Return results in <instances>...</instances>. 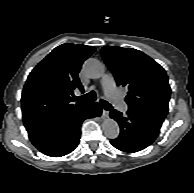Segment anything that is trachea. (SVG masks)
Listing matches in <instances>:
<instances>
[{
  "label": "trachea",
  "instance_id": "3493384b",
  "mask_svg": "<svg viewBox=\"0 0 194 193\" xmlns=\"http://www.w3.org/2000/svg\"><path fill=\"white\" fill-rule=\"evenodd\" d=\"M78 101L85 102V103H92L96 100V94L94 91L89 92L88 94H85L80 97L75 98ZM101 105L105 110H112V106L105 100L101 99Z\"/></svg>",
  "mask_w": 194,
  "mask_h": 193
}]
</instances>
